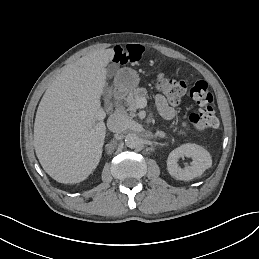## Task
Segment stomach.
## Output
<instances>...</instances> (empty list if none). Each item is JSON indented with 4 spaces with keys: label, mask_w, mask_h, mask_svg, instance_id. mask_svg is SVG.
<instances>
[{
    "label": "stomach",
    "mask_w": 259,
    "mask_h": 259,
    "mask_svg": "<svg viewBox=\"0 0 259 259\" xmlns=\"http://www.w3.org/2000/svg\"><path fill=\"white\" fill-rule=\"evenodd\" d=\"M114 84L118 90L126 93L130 92L139 84L138 74L131 69H121L116 73Z\"/></svg>",
    "instance_id": "1"
}]
</instances>
